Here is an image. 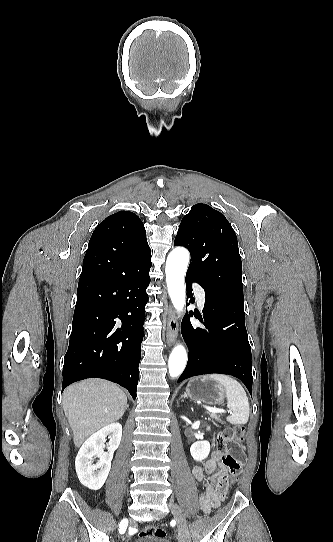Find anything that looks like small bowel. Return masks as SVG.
I'll return each instance as SVG.
<instances>
[{
  "mask_svg": "<svg viewBox=\"0 0 333 542\" xmlns=\"http://www.w3.org/2000/svg\"><path fill=\"white\" fill-rule=\"evenodd\" d=\"M241 450L244 451V447H241ZM225 456V453L216 449L202 467L195 466L192 469L195 481L204 486L199 498V505L204 513H210L213 509L218 508L225 498L226 494L219 489L222 481L227 479L229 475L228 467L224 463ZM206 475H208L207 480L205 479Z\"/></svg>",
  "mask_w": 333,
  "mask_h": 542,
  "instance_id": "1",
  "label": "small bowel"
}]
</instances>
